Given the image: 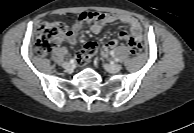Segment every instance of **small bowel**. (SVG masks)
<instances>
[{"instance_id": "c3829d8e", "label": "small bowel", "mask_w": 194, "mask_h": 133, "mask_svg": "<svg viewBox=\"0 0 194 133\" xmlns=\"http://www.w3.org/2000/svg\"><path fill=\"white\" fill-rule=\"evenodd\" d=\"M121 22L129 26V31H122L119 34V38L129 43L130 39H136L141 41L142 39V27L139 21L127 15H116L103 12H83L73 22L70 30L66 32L64 37L60 41H66L69 45L76 44L78 40V34L85 23L90 24V30L94 34H99L106 24ZM118 39H112L105 42L101 47V54L108 56L114 48L117 47Z\"/></svg>"}]
</instances>
